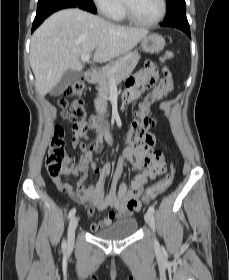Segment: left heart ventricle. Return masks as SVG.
Here are the masks:
<instances>
[{"mask_svg":"<svg viewBox=\"0 0 229 280\" xmlns=\"http://www.w3.org/2000/svg\"><path fill=\"white\" fill-rule=\"evenodd\" d=\"M133 14L141 20H152L161 12V0H129Z\"/></svg>","mask_w":229,"mask_h":280,"instance_id":"1","label":"left heart ventricle"}]
</instances>
